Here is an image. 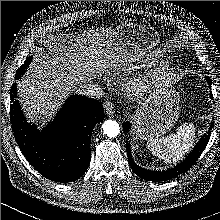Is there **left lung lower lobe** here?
Masks as SVG:
<instances>
[{"mask_svg": "<svg viewBox=\"0 0 220 220\" xmlns=\"http://www.w3.org/2000/svg\"><path fill=\"white\" fill-rule=\"evenodd\" d=\"M206 80L208 82L209 87L211 86V80L209 77H206ZM211 98L212 94H210ZM125 132H129L130 129V122H126L123 124ZM213 128V123L210 125V128L207 132V134H204L202 138L200 139L199 143L195 146V148L192 150V152L186 157V159L178 164L176 167L166 170V171H150L143 169L139 166H137L131 156V151L129 144H126L127 148V156H128V161L129 164L132 168V170L142 179L147 180V181H154V182H160V181H166L171 178H174L186 171H188L192 165L197 161L203 150L205 149L209 139L210 135L212 132Z\"/></svg>", "mask_w": 220, "mask_h": 220, "instance_id": "1", "label": "left lung lower lobe"}]
</instances>
